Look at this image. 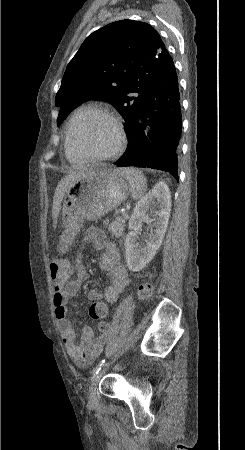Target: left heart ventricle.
I'll list each match as a JSON object with an SVG mask.
<instances>
[{
    "label": "left heart ventricle",
    "mask_w": 245,
    "mask_h": 450,
    "mask_svg": "<svg viewBox=\"0 0 245 450\" xmlns=\"http://www.w3.org/2000/svg\"><path fill=\"white\" fill-rule=\"evenodd\" d=\"M75 138L85 152L95 156L109 154L118 145V133L114 125L105 119L78 121Z\"/></svg>",
    "instance_id": "1"
}]
</instances>
